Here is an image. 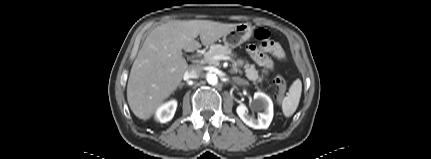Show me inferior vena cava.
Returning <instances> with one entry per match:
<instances>
[{"label": "inferior vena cava", "mask_w": 431, "mask_h": 159, "mask_svg": "<svg viewBox=\"0 0 431 159\" xmlns=\"http://www.w3.org/2000/svg\"><path fill=\"white\" fill-rule=\"evenodd\" d=\"M201 68L195 65L189 67L187 72L185 73V79H195L200 75Z\"/></svg>", "instance_id": "inferior-vena-cava-1"}]
</instances>
